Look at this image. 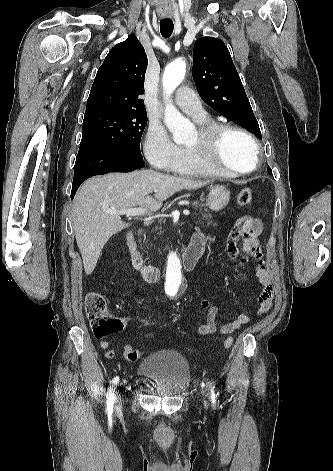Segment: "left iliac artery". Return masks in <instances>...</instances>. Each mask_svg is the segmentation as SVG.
I'll use <instances>...</instances> for the list:
<instances>
[{"mask_svg": "<svg viewBox=\"0 0 333 471\" xmlns=\"http://www.w3.org/2000/svg\"><path fill=\"white\" fill-rule=\"evenodd\" d=\"M211 401H212L213 406L215 407V404H216V395H215V392H214V389H213V388H211Z\"/></svg>", "mask_w": 333, "mask_h": 471, "instance_id": "obj_1", "label": "left iliac artery"}]
</instances>
